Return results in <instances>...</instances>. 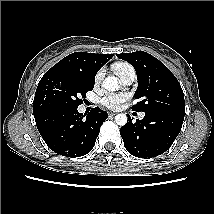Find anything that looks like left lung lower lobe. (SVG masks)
Segmentation results:
<instances>
[{
	"label": "left lung lower lobe",
	"instance_id": "left-lung-lower-lobe-1",
	"mask_svg": "<svg viewBox=\"0 0 214 214\" xmlns=\"http://www.w3.org/2000/svg\"><path fill=\"white\" fill-rule=\"evenodd\" d=\"M184 114L167 111L145 112L136 123L129 119L120 134L126 150L140 158L156 157L167 151L179 134Z\"/></svg>",
	"mask_w": 214,
	"mask_h": 214
}]
</instances>
